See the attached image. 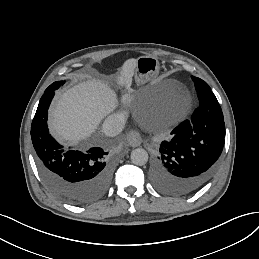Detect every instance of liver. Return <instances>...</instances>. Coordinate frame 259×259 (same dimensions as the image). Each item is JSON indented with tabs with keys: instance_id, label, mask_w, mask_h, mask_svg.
<instances>
[{
	"instance_id": "obj_1",
	"label": "liver",
	"mask_w": 259,
	"mask_h": 259,
	"mask_svg": "<svg viewBox=\"0 0 259 259\" xmlns=\"http://www.w3.org/2000/svg\"><path fill=\"white\" fill-rule=\"evenodd\" d=\"M137 61L123 68L120 82L131 86ZM113 94L92 84L79 85L67 92L50 110V128L61 141L78 143L88 137L112 108Z\"/></svg>"
}]
</instances>
